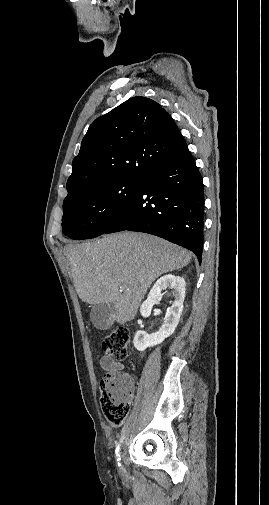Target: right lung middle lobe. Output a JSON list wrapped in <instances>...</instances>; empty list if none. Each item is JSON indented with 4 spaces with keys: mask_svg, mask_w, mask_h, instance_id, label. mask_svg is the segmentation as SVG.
<instances>
[{
    "mask_svg": "<svg viewBox=\"0 0 269 505\" xmlns=\"http://www.w3.org/2000/svg\"><path fill=\"white\" fill-rule=\"evenodd\" d=\"M139 185V180H119L93 186L64 200V234L72 239L102 235L123 213Z\"/></svg>",
    "mask_w": 269,
    "mask_h": 505,
    "instance_id": "obj_1",
    "label": "right lung middle lobe"
}]
</instances>
